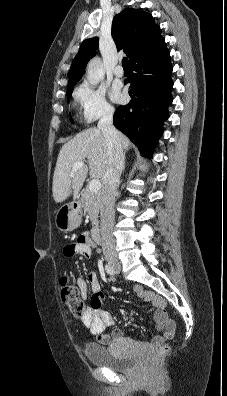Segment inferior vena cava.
Wrapping results in <instances>:
<instances>
[{
	"label": "inferior vena cava",
	"mask_w": 227,
	"mask_h": 396,
	"mask_svg": "<svg viewBox=\"0 0 227 396\" xmlns=\"http://www.w3.org/2000/svg\"><path fill=\"white\" fill-rule=\"evenodd\" d=\"M113 114L112 108L107 109L98 122V129L103 133L109 150V160L102 178L103 186L100 197L102 249L106 257L116 254L113 236L114 204L124 160L118 132L113 126Z\"/></svg>",
	"instance_id": "602c4592"
}]
</instances>
